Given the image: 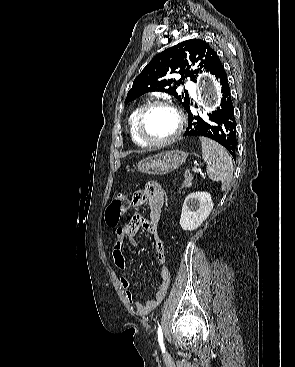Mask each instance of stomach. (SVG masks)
<instances>
[{
  "instance_id": "stomach-1",
  "label": "stomach",
  "mask_w": 295,
  "mask_h": 367,
  "mask_svg": "<svg viewBox=\"0 0 295 367\" xmlns=\"http://www.w3.org/2000/svg\"><path fill=\"white\" fill-rule=\"evenodd\" d=\"M188 154L181 150L164 151L140 161L138 170L153 175H164L186 162Z\"/></svg>"
}]
</instances>
